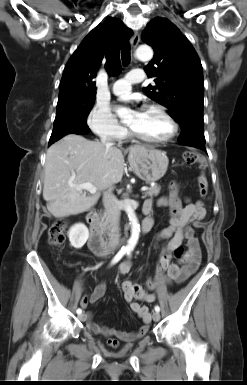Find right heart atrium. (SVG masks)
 Returning a JSON list of instances; mask_svg holds the SVG:
<instances>
[{
  "instance_id": "right-heart-atrium-1",
  "label": "right heart atrium",
  "mask_w": 247,
  "mask_h": 385,
  "mask_svg": "<svg viewBox=\"0 0 247 385\" xmlns=\"http://www.w3.org/2000/svg\"><path fill=\"white\" fill-rule=\"evenodd\" d=\"M87 123L90 129L99 137L108 140L122 139L127 130L111 114L109 108L101 103H95L91 108Z\"/></svg>"
}]
</instances>
